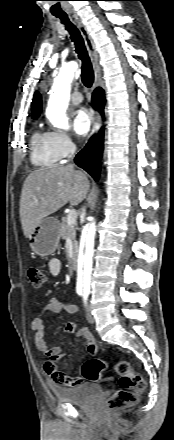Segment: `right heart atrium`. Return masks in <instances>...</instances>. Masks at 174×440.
Listing matches in <instances>:
<instances>
[{"label": "right heart atrium", "instance_id": "d8ad5b80", "mask_svg": "<svg viewBox=\"0 0 174 440\" xmlns=\"http://www.w3.org/2000/svg\"><path fill=\"white\" fill-rule=\"evenodd\" d=\"M51 139L56 155L62 160L69 157L74 151V142L64 131L51 132Z\"/></svg>", "mask_w": 174, "mask_h": 440}]
</instances>
